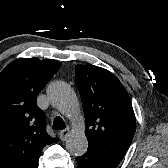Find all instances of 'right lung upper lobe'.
<instances>
[{
    "label": "right lung upper lobe",
    "mask_w": 168,
    "mask_h": 168,
    "mask_svg": "<svg viewBox=\"0 0 168 168\" xmlns=\"http://www.w3.org/2000/svg\"><path fill=\"white\" fill-rule=\"evenodd\" d=\"M61 63L22 58L0 73V168H37L42 148L57 139L46 133L36 98Z\"/></svg>",
    "instance_id": "cb5924a9"
}]
</instances>
